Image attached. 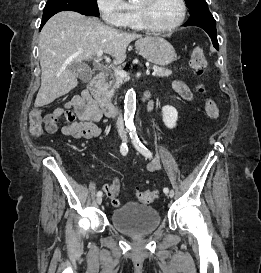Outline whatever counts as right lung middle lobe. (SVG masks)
Returning <instances> with one entry per match:
<instances>
[{
    "label": "right lung middle lobe",
    "mask_w": 261,
    "mask_h": 273,
    "mask_svg": "<svg viewBox=\"0 0 261 273\" xmlns=\"http://www.w3.org/2000/svg\"><path fill=\"white\" fill-rule=\"evenodd\" d=\"M77 0H48L43 11V16H53L57 12L71 10V4H75ZM81 1L88 11L95 16L99 15V10L96 0H78Z\"/></svg>",
    "instance_id": "obj_1"
}]
</instances>
